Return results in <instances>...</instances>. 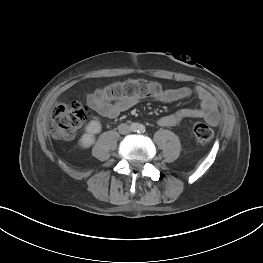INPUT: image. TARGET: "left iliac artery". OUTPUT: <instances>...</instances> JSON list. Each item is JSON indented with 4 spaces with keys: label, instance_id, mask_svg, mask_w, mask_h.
I'll list each match as a JSON object with an SVG mask.
<instances>
[{
    "label": "left iliac artery",
    "instance_id": "left-iliac-artery-1",
    "mask_svg": "<svg viewBox=\"0 0 263 263\" xmlns=\"http://www.w3.org/2000/svg\"><path fill=\"white\" fill-rule=\"evenodd\" d=\"M144 132H145V127L143 125L139 126L138 133H144Z\"/></svg>",
    "mask_w": 263,
    "mask_h": 263
}]
</instances>
